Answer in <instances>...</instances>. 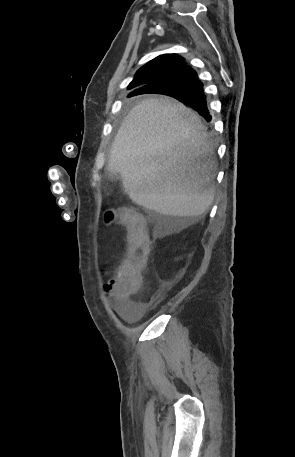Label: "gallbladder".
I'll list each match as a JSON object with an SVG mask.
<instances>
[{
    "label": "gallbladder",
    "instance_id": "bac80fb5",
    "mask_svg": "<svg viewBox=\"0 0 295 457\" xmlns=\"http://www.w3.org/2000/svg\"><path fill=\"white\" fill-rule=\"evenodd\" d=\"M108 178L114 181L121 180V175L119 173H109Z\"/></svg>",
    "mask_w": 295,
    "mask_h": 457
}]
</instances>
